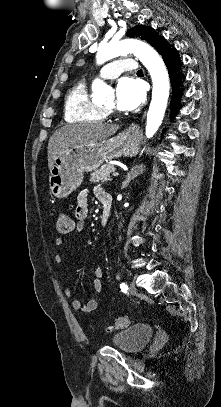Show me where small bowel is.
Segmentation results:
<instances>
[{"label":"small bowel","instance_id":"obj_1","mask_svg":"<svg viewBox=\"0 0 221 407\" xmlns=\"http://www.w3.org/2000/svg\"><path fill=\"white\" fill-rule=\"evenodd\" d=\"M108 193L101 187H97L95 189V195L97 199L101 202L103 196ZM88 192L86 190H82L78 197H77V207L75 210V217H76V222L74 224L73 231L74 232H81L86 224V219L88 216L89 212V206H88ZM64 241V237H58L55 241V244L57 246H60ZM56 262L60 263L61 262V257L56 256L55 257ZM94 278H93V288L96 292L100 293L103 290V277H104V270L100 267H97L94 269ZM65 295L68 298L73 297V291L71 289H65ZM72 306L74 309L82 312V313H90L92 311H95L98 308V301L96 299H91L88 300L85 304H82L80 300H73L72 301Z\"/></svg>","mask_w":221,"mask_h":407}]
</instances>
